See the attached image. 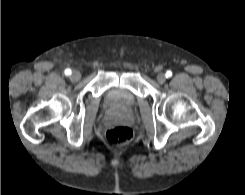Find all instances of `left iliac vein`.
I'll use <instances>...</instances> for the list:
<instances>
[{
  "instance_id": "1",
  "label": "left iliac vein",
  "mask_w": 245,
  "mask_h": 195,
  "mask_svg": "<svg viewBox=\"0 0 245 195\" xmlns=\"http://www.w3.org/2000/svg\"><path fill=\"white\" fill-rule=\"evenodd\" d=\"M157 81L160 83V84H163L165 81H166V76L164 73H159L157 75Z\"/></svg>"
}]
</instances>
